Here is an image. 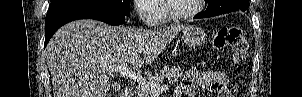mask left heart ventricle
<instances>
[{
    "mask_svg": "<svg viewBox=\"0 0 302 97\" xmlns=\"http://www.w3.org/2000/svg\"><path fill=\"white\" fill-rule=\"evenodd\" d=\"M171 7L177 14L192 11L197 6V0H171Z\"/></svg>",
    "mask_w": 302,
    "mask_h": 97,
    "instance_id": "obj_1",
    "label": "left heart ventricle"
}]
</instances>
